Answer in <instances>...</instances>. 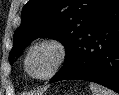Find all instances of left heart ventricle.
I'll use <instances>...</instances> for the list:
<instances>
[{"label":"left heart ventricle","mask_w":119,"mask_h":95,"mask_svg":"<svg viewBox=\"0 0 119 95\" xmlns=\"http://www.w3.org/2000/svg\"><path fill=\"white\" fill-rule=\"evenodd\" d=\"M57 58V51L50 45H42L34 49L28 60V67L32 74L42 76L53 67Z\"/></svg>","instance_id":"b2bd125f"}]
</instances>
